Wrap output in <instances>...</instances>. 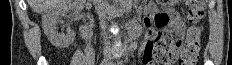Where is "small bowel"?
Returning <instances> with one entry per match:
<instances>
[{"label":"small bowel","instance_id":"obj_1","mask_svg":"<svg viewBox=\"0 0 232 65\" xmlns=\"http://www.w3.org/2000/svg\"><path fill=\"white\" fill-rule=\"evenodd\" d=\"M144 23L147 28L148 41L143 48V63L153 65L155 59V47L160 37H170L174 32L177 36L183 37L185 29L179 18L173 12H158L154 6H149ZM156 27L159 31L154 30ZM159 65H172L171 62H159Z\"/></svg>","mask_w":232,"mask_h":65}]
</instances>
